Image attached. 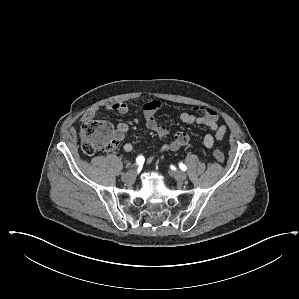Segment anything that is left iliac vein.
Returning <instances> with one entry per match:
<instances>
[{
	"mask_svg": "<svg viewBox=\"0 0 299 299\" xmlns=\"http://www.w3.org/2000/svg\"><path fill=\"white\" fill-rule=\"evenodd\" d=\"M172 175L179 182H183L187 178V175L182 171H173Z\"/></svg>",
	"mask_w": 299,
	"mask_h": 299,
	"instance_id": "1",
	"label": "left iliac vein"
}]
</instances>
